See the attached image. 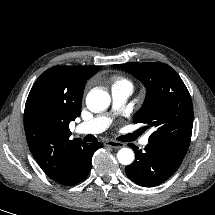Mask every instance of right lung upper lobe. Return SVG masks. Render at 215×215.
Here are the masks:
<instances>
[{"mask_svg":"<svg viewBox=\"0 0 215 215\" xmlns=\"http://www.w3.org/2000/svg\"><path fill=\"white\" fill-rule=\"evenodd\" d=\"M99 66H55L34 83L25 105L24 127L32 155L42 170L63 184L73 158L86 143L70 140L69 123L80 115L86 80Z\"/></svg>","mask_w":215,"mask_h":215,"instance_id":"cb5924a9","label":"right lung upper lobe"}]
</instances>
